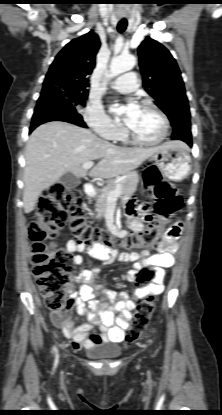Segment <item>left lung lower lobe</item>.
<instances>
[{"label":"left lung lower lobe","instance_id":"1","mask_svg":"<svg viewBox=\"0 0 222 415\" xmlns=\"http://www.w3.org/2000/svg\"><path fill=\"white\" fill-rule=\"evenodd\" d=\"M172 139L182 140L186 142L190 147L192 146V135L190 125H184L178 129L173 130Z\"/></svg>","mask_w":222,"mask_h":415}]
</instances>
